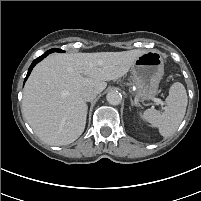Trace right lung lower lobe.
I'll use <instances>...</instances> for the list:
<instances>
[{"label":"right lung lower lobe","instance_id":"obj_1","mask_svg":"<svg viewBox=\"0 0 201 201\" xmlns=\"http://www.w3.org/2000/svg\"><path fill=\"white\" fill-rule=\"evenodd\" d=\"M49 53H50V50L47 51V52H45L42 56L38 57L37 59H35V60L32 62L31 66L29 67V70H28L27 76H26V78H25V81L27 80L28 76L30 75V73H31V71H32V69H33V67H34L38 62H40L43 58H45Z\"/></svg>","mask_w":201,"mask_h":201}]
</instances>
